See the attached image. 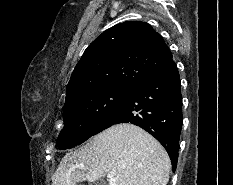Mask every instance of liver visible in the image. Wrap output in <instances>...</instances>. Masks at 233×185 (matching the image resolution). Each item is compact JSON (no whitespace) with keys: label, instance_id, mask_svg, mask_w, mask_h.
Wrapping results in <instances>:
<instances>
[{"label":"liver","instance_id":"liver-1","mask_svg":"<svg viewBox=\"0 0 233 185\" xmlns=\"http://www.w3.org/2000/svg\"><path fill=\"white\" fill-rule=\"evenodd\" d=\"M80 164L85 168L76 167ZM170 169L166 150L153 136L133 124H117L67 153L52 185L95 182L109 173L116 185H167Z\"/></svg>","mask_w":233,"mask_h":185}]
</instances>
